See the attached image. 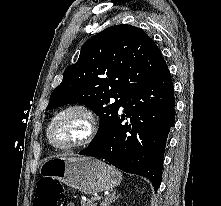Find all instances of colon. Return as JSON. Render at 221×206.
<instances>
[{
    "label": "colon",
    "mask_w": 221,
    "mask_h": 206,
    "mask_svg": "<svg viewBox=\"0 0 221 206\" xmlns=\"http://www.w3.org/2000/svg\"><path fill=\"white\" fill-rule=\"evenodd\" d=\"M35 206H67V196L63 188L51 179H41L37 183L34 196Z\"/></svg>",
    "instance_id": "5ec220e1"
}]
</instances>
